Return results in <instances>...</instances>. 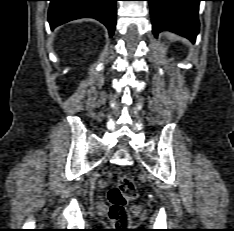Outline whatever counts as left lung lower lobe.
Masks as SVG:
<instances>
[{"label":"left lung lower lobe","instance_id":"0a47b994","mask_svg":"<svg viewBox=\"0 0 234 231\" xmlns=\"http://www.w3.org/2000/svg\"><path fill=\"white\" fill-rule=\"evenodd\" d=\"M150 3L153 34L169 30L194 42L199 32L198 10L202 0H147Z\"/></svg>","mask_w":234,"mask_h":231}]
</instances>
